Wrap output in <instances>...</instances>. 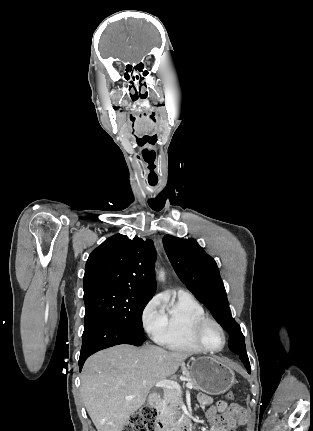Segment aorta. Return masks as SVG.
<instances>
[{
    "instance_id": "762f6f07",
    "label": "aorta",
    "mask_w": 313,
    "mask_h": 431,
    "mask_svg": "<svg viewBox=\"0 0 313 431\" xmlns=\"http://www.w3.org/2000/svg\"><path fill=\"white\" fill-rule=\"evenodd\" d=\"M159 278H160L161 280H164V272H163V271H161V272H160V274H159Z\"/></svg>"
}]
</instances>
